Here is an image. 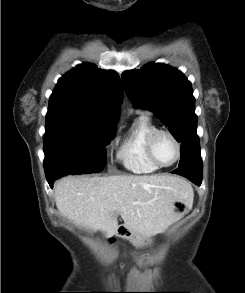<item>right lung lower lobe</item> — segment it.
<instances>
[{
  "mask_svg": "<svg viewBox=\"0 0 245 293\" xmlns=\"http://www.w3.org/2000/svg\"><path fill=\"white\" fill-rule=\"evenodd\" d=\"M54 181H55V179L48 180V183H49L51 188H53Z\"/></svg>",
  "mask_w": 245,
  "mask_h": 293,
  "instance_id": "98d812e1",
  "label": "right lung lower lobe"
}]
</instances>
